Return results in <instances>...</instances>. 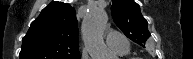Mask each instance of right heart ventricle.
I'll list each match as a JSON object with an SVG mask.
<instances>
[{
    "label": "right heart ventricle",
    "mask_w": 193,
    "mask_h": 59,
    "mask_svg": "<svg viewBox=\"0 0 193 59\" xmlns=\"http://www.w3.org/2000/svg\"><path fill=\"white\" fill-rule=\"evenodd\" d=\"M128 53V52H127ZM127 53H119L120 55H122V56H124V55H126Z\"/></svg>",
    "instance_id": "right-heart-ventricle-1"
}]
</instances>
